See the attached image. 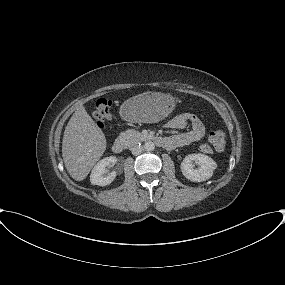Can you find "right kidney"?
<instances>
[{
  "mask_svg": "<svg viewBox=\"0 0 285 285\" xmlns=\"http://www.w3.org/2000/svg\"><path fill=\"white\" fill-rule=\"evenodd\" d=\"M117 163V158L115 156H109L100 160L93 168L90 174V181L92 185L107 186L113 182L116 177V172L112 171L107 173L106 167H113Z\"/></svg>",
  "mask_w": 285,
  "mask_h": 285,
  "instance_id": "obj_1",
  "label": "right kidney"
}]
</instances>
